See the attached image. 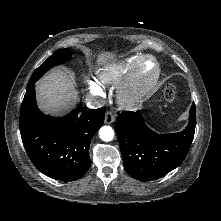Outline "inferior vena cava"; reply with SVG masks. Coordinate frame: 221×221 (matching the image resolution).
Here are the masks:
<instances>
[{
	"instance_id": "602c4592",
	"label": "inferior vena cava",
	"mask_w": 221,
	"mask_h": 221,
	"mask_svg": "<svg viewBox=\"0 0 221 221\" xmlns=\"http://www.w3.org/2000/svg\"><path fill=\"white\" fill-rule=\"evenodd\" d=\"M104 105V101L97 100L96 98H90L87 102V107L91 109L99 108Z\"/></svg>"
}]
</instances>
